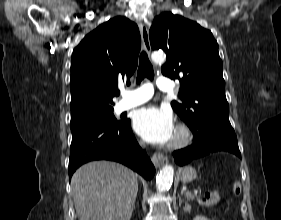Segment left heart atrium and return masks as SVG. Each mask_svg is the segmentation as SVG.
<instances>
[{"label": "left heart atrium", "mask_w": 281, "mask_h": 220, "mask_svg": "<svg viewBox=\"0 0 281 220\" xmlns=\"http://www.w3.org/2000/svg\"><path fill=\"white\" fill-rule=\"evenodd\" d=\"M133 127L145 141L153 144H166L175 131L171 112L166 108L148 106L136 111Z\"/></svg>", "instance_id": "obj_1"}]
</instances>
